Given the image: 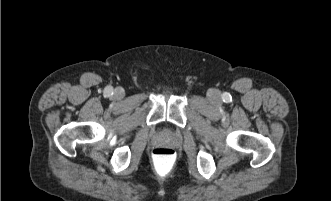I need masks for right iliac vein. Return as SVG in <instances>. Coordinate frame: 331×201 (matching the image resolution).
<instances>
[{
    "label": "right iliac vein",
    "mask_w": 331,
    "mask_h": 201,
    "mask_svg": "<svg viewBox=\"0 0 331 201\" xmlns=\"http://www.w3.org/2000/svg\"><path fill=\"white\" fill-rule=\"evenodd\" d=\"M114 97H115L116 99H121V98H123V97H124V90H123L122 88H120V87L116 88V89L114 90Z\"/></svg>",
    "instance_id": "1"
}]
</instances>
